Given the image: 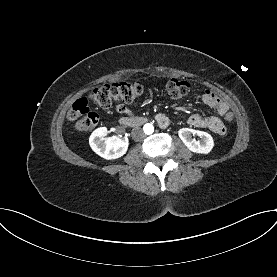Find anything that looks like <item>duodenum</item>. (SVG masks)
<instances>
[{"mask_svg":"<svg viewBox=\"0 0 277 277\" xmlns=\"http://www.w3.org/2000/svg\"><path fill=\"white\" fill-rule=\"evenodd\" d=\"M146 122L144 117H123L120 119V124L125 127H138Z\"/></svg>","mask_w":277,"mask_h":277,"instance_id":"410a0bca","label":"duodenum"}]
</instances>
